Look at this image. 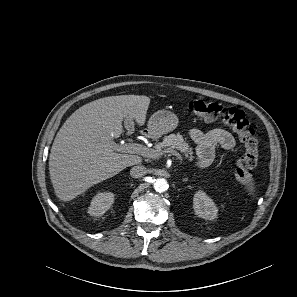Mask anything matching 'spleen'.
<instances>
[{
  "label": "spleen",
  "instance_id": "spleen-1",
  "mask_svg": "<svg viewBox=\"0 0 297 297\" xmlns=\"http://www.w3.org/2000/svg\"><path fill=\"white\" fill-rule=\"evenodd\" d=\"M246 190L249 192V194H252L254 192L253 184L247 185Z\"/></svg>",
  "mask_w": 297,
  "mask_h": 297
}]
</instances>
